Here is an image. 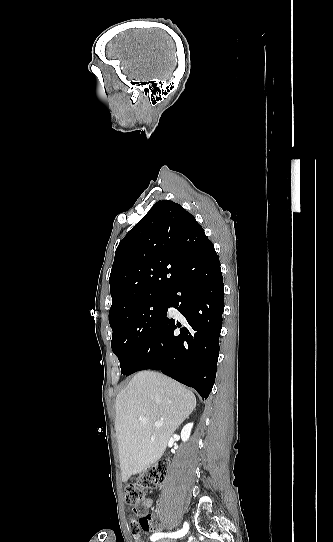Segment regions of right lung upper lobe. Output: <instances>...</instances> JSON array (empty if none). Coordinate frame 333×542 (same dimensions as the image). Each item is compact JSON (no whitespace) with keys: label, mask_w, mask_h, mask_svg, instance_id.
Returning a JSON list of instances; mask_svg holds the SVG:
<instances>
[{"label":"right lung upper lobe","mask_w":333,"mask_h":542,"mask_svg":"<svg viewBox=\"0 0 333 542\" xmlns=\"http://www.w3.org/2000/svg\"><path fill=\"white\" fill-rule=\"evenodd\" d=\"M210 242L181 205L158 201L119 243L109 282V319L130 307L168 295L181 280L178 254Z\"/></svg>","instance_id":"1"}]
</instances>
